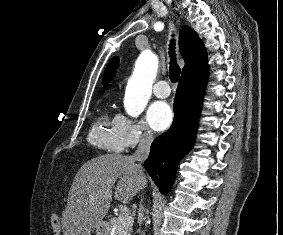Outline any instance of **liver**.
I'll use <instances>...</instances> for the list:
<instances>
[{
	"label": "liver",
	"instance_id": "liver-1",
	"mask_svg": "<svg viewBox=\"0 0 283 235\" xmlns=\"http://www.w3.org/2000/svg\"><path fill=\"white\" fill-rule=\"evenodd\" d=\"M117 180L114 198L124 204L147 185L145 174L129 156L104 154L81 166L62 213L64 235H91L109 211Z\"/></svg>",
	"mask_w": 283,
	"mask_h": 235
}]
</instances>
